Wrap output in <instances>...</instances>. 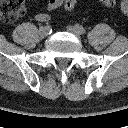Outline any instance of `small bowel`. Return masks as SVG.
Wrapping results in <instances>:
<instances>
[{"label":"small bowel","instance_id":"1","mask_svg":"<svg viewBox=\"0 0 128 128\" xmlns=\"http://www.w3.org/2000/svg\"><path fill=\"white\" fill-rule=\"evenodd\" d=\"M63 4V0H48L47 9L53 11L58 9ZM35 19L39 22H46L50 19V14L48 12H39L35 15Z\"/></svg>","mask_w":128,"mask_h":128}]
</instances>
